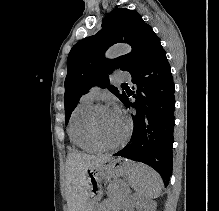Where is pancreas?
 <instances>
[{
    "label": "pancreas",
    "mask_w": 219,
    "mask_h": 211,
    "mask_svg": "<svg viewBox=\"0 0 219 211\" xmlns=\"http://www.w3.org/2000/svg\"><path fill=\"white\" fill-rule=\"evenodd\" d=\"M127 186H114L107 187L109 190V198H105V202H96L94 205L95 209H102L103 207H112L111 211H120V203L122 200H126V189Z\"/></svg>",
    "instance_id": "obj_1"
}]
</instances>
